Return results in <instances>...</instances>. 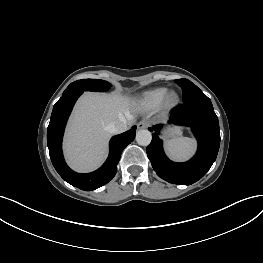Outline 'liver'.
Listing matches in <instances>:
<instances>
[{
	"mask_svg": "<svg viewBox=\"0 0 263 263\" xmlns=\"http://www.w3.org/2000/svg\"><path fill=\"white\" fill-rule=\"evenodd\" d=\"M125 117L132 123L129 99L119 93H85L71 116L64 150L69 165L76 171L96 169L105 159L110 132L108 124Z\"/></svg>",
	"mask_w": 263,
	"mask_h": 263,
	"instance_id": "liver-1",
	"label": "liver"
}]
</instances>
